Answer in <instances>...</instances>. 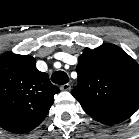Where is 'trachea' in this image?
Returning a JSON list of instances; mask_svg holds the SVG:
<instances>
[{"mask_svg":"<svg viewBox=\"0 0 139 139\" xmlns=\"http://www.w3.org/2000/svg\"><path fill=\"white\" fill-rule=\"evenodd\" d=\"M51 81L58 85H63L68 83V75L64 71H56L51 76Z\"/></svg>","mask_w":139,"mask_h":139,"instance_id":"trachea-1","label":"trachea"}]
</instances>
